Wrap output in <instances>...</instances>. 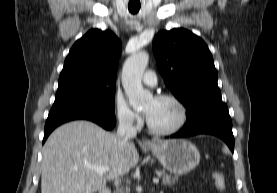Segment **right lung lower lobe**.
<instances>
[{"instance_id":"98d812e1","label":"right lung lower lobe","mask_w":277,"mask_h":193,"mask_svg":"<svg viewBox=\"0 0 277 193\" xmlns=\"http://www.w3.org/2000/svg\"><path fill=\"white\" fill-rule=\"evenodd\" d=\"M78 119L93 121L107 130H111L116 124L114 116L96 111L89 107L54 104L45 124L43 143L57 126Z\"/></svg>"}]
</instances>
